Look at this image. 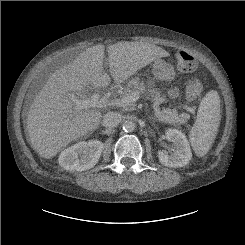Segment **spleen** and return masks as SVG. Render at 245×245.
<instances>
[{
  "label": "spleen",
  "instance_id": "3e777b00",
  "mask_svg": "<svg viewBox=\"0 0 245 245\" xmlns=\"http://www.w3.org/2000/svg\"><path fill=\"white\" fill-rule=\"evenodd\" d=\"M220 120L219 94L212 90L202 99L197 119L189 134L190 143L196 155L202 157L210 150L217 135Z\"/></svg>",
  "mask_w": 245,
  "mask_h": 245
}]
</instances>
